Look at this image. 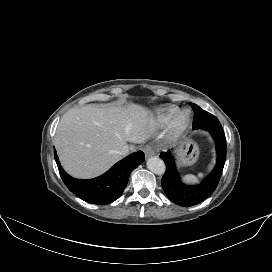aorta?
<instances>
[{
    "mask_svg": "<svg viewBox=\"0 0 272 272\" xmlns=\"http://www.w3.org/2000/svg\"><path fill=\"white\" fill-rule=\"evenodd\" d=\"M147 168L155 174L162 175L166 170L165 163L159 157H150L147 160Z\"/></svg>",
    "mask_w": 272,
    "mask_h": 272,
    "instance_id": "762f6f07",
    "label": "aorta"
}]
</instances>
